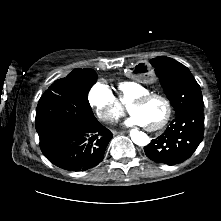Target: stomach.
Here are the masks:
<instances>
[{
	"label": "stomach",
	"instance_id": "0dacf381",
	"mask_svg": "<svg viewBox=\"0 0 221 221\" xmlns=\"http://www.w3.org/2000/svg\"><path fill=\"white\" fill-rule=\"evenodd\" d=\"M128 74L131 79L143 84H151L157 78L156 69L148 62H135L130 65Z\"/></svg>",
	"mask_w": 221,
	"mask_h": 221
}]
</instances>
